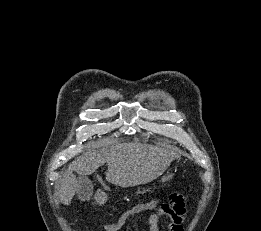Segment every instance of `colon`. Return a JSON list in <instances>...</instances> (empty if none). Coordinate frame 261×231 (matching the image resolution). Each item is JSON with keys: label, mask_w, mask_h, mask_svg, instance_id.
<instances>
[{"label": "colon", "mask_w": 261, "mask_h": 231, "mask_svg": "<svg viewBox=\"0 0 261 231\" xmlns=\"http://www.w3.org/2000/svg\"><path fill=\"white\" fill-rule=\"evenodd\" d=\"M102 197L104 200L109 198V193L107 190L102 191ZM169 209L179 217H184L186 214L185 204L183 202V198L179 194H172L170 196V204L167 205ZM154 208L153 205H148L147 211H150Z\"/></svg>", "instance_id": "colon-1"}]
</instances>
